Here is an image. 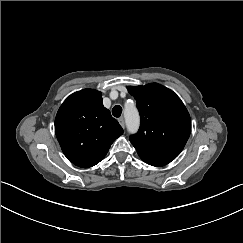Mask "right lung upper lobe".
Wrapping results in <instances>:
<instances>
[{"label": "right lung upper lobe", "mask_w": 243, "mask_h": 243, "mask_svg": "<svg viewBox=\"0 0 243 243\" xmlns=\"http://www.w3.org/2000/svg\"><path fill=\"white\" fill-rule=\"evenodd\" d=\"M55 134L65 156L82 168L98 164L123 129L102 104L101 92L83 89L58 110Z\"/></svg>", "instance_id": "right-lung-upper-lobe-1"}]
</instances>
